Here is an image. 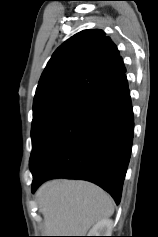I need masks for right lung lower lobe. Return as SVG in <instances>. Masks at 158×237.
<instances>
[{"label":"right lung lower lobe","instance_id":"right-lung-lower-lobe-1","mask_svg":"<svg viewBox=\"0 0 158 237\" xmlns=\"http://www.w3.org/2000/svg\"><path fill=\"white\" fill-rule=\"evenodd\" d=\"M134 117L125 75L69 114L40 143L30 169L32 192L52 178L83 179L120 203Z\"/></svg>","mask_w":158,"mask_h":237}]
</instances>
